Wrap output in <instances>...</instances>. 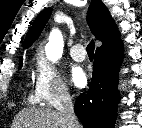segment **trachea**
Returning <instances> with one entry per match:
<instances>
[{
    "instance_id": "trachea-1",
    "label": "trachea",
    "mask_w": 142,
    "mask_h": 128,
    "mask_svg": "<svg viewBox=\"0 0 142 128\" xmlns=\"http://www.w3.org/2000/svg\"><path fill=\"white\" fill-rule=\"evenodd\" d=\"M94 49H95V44H94V41L91 40V42L87 45V48H86L89 58H93Z\"/></svg>"
}]
</instances>
